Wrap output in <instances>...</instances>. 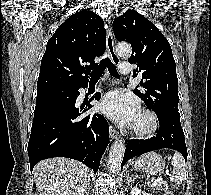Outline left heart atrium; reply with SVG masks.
<instances>
[{
  "instance_id": "39dd6f15",
  "label": "left heart atrium",
  "mask_w": 211,
  "mask_h": 195,
  "mask_svg": "<svg viewBox=\"0 0 211 195\" xmlns=\"http://www.w3.org/2000/svg\"><path fill=\"white\" fill-rule=\"evenodd\" d=\"M138 103L130 95L120 91L107 93L101 104V111L120 124H131L138 115Z\"/></svg>"
}]
</instances>
